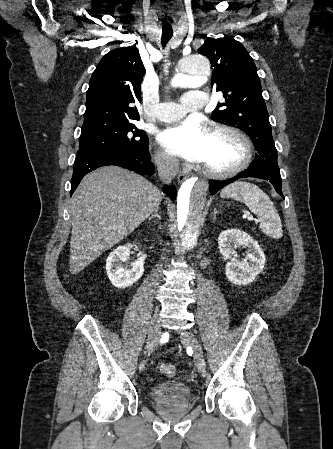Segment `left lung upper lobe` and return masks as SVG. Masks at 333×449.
Listing matches in <instances>:
<instances>
[{"mask_svg": "<svg viewBox=\"0 0 333 449\" xmlns=\"http://www.w3.org/2000/svg\"><path fill=\"white\" fill-rule=\"evenodd\" d=\"M198 52L210 60L214 67L212 86L225 98V103L212 112L213 118L241 129L251 138L257 153L249 167L279 170L261 83L247 50L234 39L206 37Z\"/></svg>", "mask_w": 333, "mask_h": 449, "instance_id": "5c2ea615", "label": "left lung upper lobe"}]
</instances>
